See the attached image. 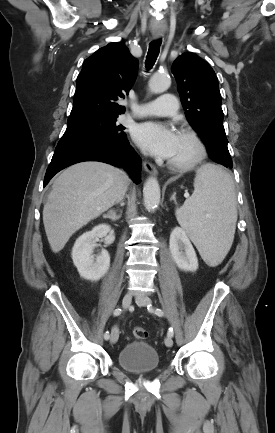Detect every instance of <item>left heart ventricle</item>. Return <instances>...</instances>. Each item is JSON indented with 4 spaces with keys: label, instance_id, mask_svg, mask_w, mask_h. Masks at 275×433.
Listing matches in <instances>:
<instances>
[{
    "label": "left heart ventricle",
    "instance_id": "b2bd125f",
    "mask_svg": "<svg viewBox=\"0 0 275 433\" xmlns=\"http://www.w3.org/2000/svg\"><path fill=\"white\" fill-rule=\"evenodd\" d=\"M197 153L195 143L187 136L178 134L177 142L170 161L176 163H187L191 161Z\"/></svg>",
    "mask_w": 275,
    "mask_h": 433
}]
</instances>
